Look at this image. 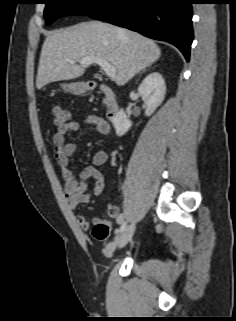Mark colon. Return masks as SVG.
Segmentation results:
<instances>
[{"mask_svg":"<svg viewBox=\"0 0 236 321\" xmlns=\"http://www.w3.org/2000/svg\"><path fill=\"white\" fill-rule=\"evenodd\" d=\"M54 123L57 126H62L69 121V113L62 106H55L53 108ZM110 226L107 221H101L94 225L93 236L99 240L104 241L108 238Z\"/></svg>","mask_w":236,"mask_h":321,"instance_id":"1","label":"colon"}]
</instances>
